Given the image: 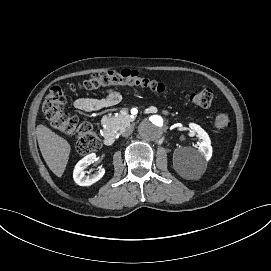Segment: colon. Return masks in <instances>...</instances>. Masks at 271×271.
<instances>
[{
    "mask_svg": "<svg viewBox=\"0 0 271 271\" xmlns=\"http://www.w3.org/2000/svg\"><path fill=\"white\" fill-rule=\"evenodd\" d=\"M139 86L150 89L157 93H164L167 87L160 81L149 78L146 74L138 71L124 69L120 72H101L91 75L81 83L71 84L67 87L55 86L44 96L42 100V111L50 125L57 131L76 135V150L80 155H87L97 151L100 141L92 126L81 121L77 116L70 115L64 111L66 104V93L69 90L83 89L96 90L107 86ZM187 99L196 106L208 107L211 105L214 94L210 89L189 92ZM232 122L228 114L218 113L213 120V128L217 133L227 132Z\"/></svg>",
    "mask_w": 271,
    "mask_h": 271,
    "instance_id": "obj_1",
    "label": "colon"
}]
</instances>
